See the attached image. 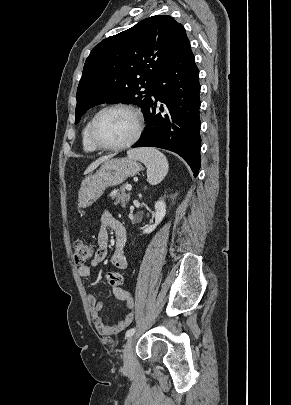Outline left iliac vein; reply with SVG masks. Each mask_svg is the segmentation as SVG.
Masks as SVG:
<instances>
[{"label":"left iliac vein","mask_w":291,"mask_h":405,"mask_svg":"<svg viewBox=\"0 0 291 405\" xmlns=\"http://www.w3.org/2000/svg\"><path fill=\"white\" fill-rule=\"evenodd\" d=\"M124 369L130 370L133 367V337H129L123 349Z\"/></svg>","instance_id":"left-iliac-vein-1"}]
</instances>
